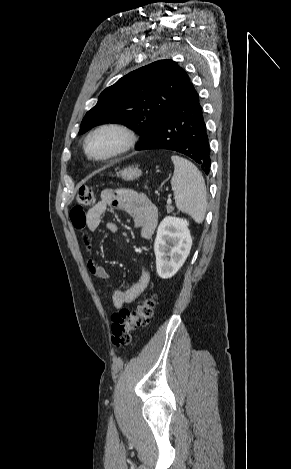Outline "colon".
I'll return each instance as SVG.
<instances>
[{
    "label": "colon",
    "instance_id": "5ec220e1",
    "mask_svg": "<svg viewBox=\"0 0 291 469\" xmlns=\"http://www.w3.org/2000/svg\"><path fill=\"white\" fill-rule=\"evenodd\" d=\"M78 206L73 208L72 215L79 218L83 207L91 206L95 202L94 191L88 186H82L77 193ZM155 297L153 295L141 299L135 309L123 308L112 316L111 341L117 348H123L130 344L131 333L146 327L153 316Z\"/></svg>",
    "mask_w": 291,
    "mask_h": 469
}]
</instances>
